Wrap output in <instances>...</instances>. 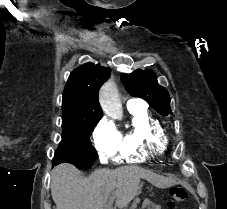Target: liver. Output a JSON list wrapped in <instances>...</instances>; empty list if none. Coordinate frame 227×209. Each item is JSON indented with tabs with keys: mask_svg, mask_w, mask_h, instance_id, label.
<instances>
[{
	"mask_svg": "<svg viewBox=\"0 0 227 209\" xmlns=\"http://www.w3.org/2000/svg\"><path fill=\"white\" fill-rule=\"evenodd\" d=\"M140 177L150 181L155 173L140 167H120L115 171L100 169L91 177H82L76 167L62 163L51 173V197L56 209H103L111 191L117 187L118 205L124 207L134 199Z\"/></svg>",
	"mask_w": 227,
	"mask_h": 209,
	"instance_id": "1",
	"label": "liver"
}]
</instances>
